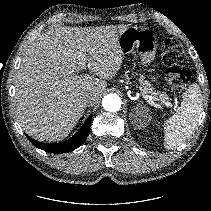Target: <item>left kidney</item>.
Returning <instances> with one entry per match:
<instances>
[{
	"instance_id": "left-kidney-1",
	"label": "left kidney",
	"mask_w": 211,
	"mask_h": 211,
	"mask_svg": "<svg viewBox=\"0 0 211 211\" xmlns=\"http://www.w3.org/2000/svg\"><path fill=\"white\" fill-rule=\"evenodd\" d=\"M143 121H144V123L143 122H141V120H140V125H138V127L139 126H144V125H146L147 123H148V121H149V117H148V114H146V112H145V114L143 115Z\"/></svg>"
}]
</instances>
